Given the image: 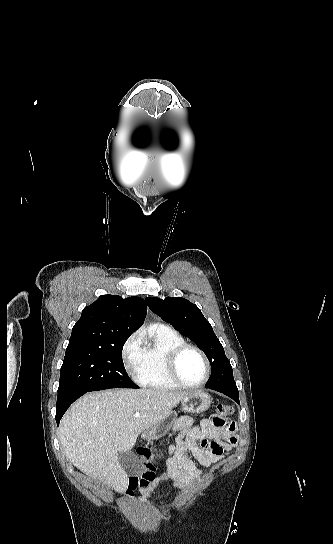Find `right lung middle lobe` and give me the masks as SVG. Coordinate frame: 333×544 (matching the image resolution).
Instances as JSON below:
<instances>
[{"label": "right lung middle lobe", "instance_id": "1", "mask_svg": "<svg viewBox=\"0 0 333 544\" xmlns=\"http://www.w3.org/2000/svg\"><path fill=\"white\" fill-rule=\"evenodd\" d=\"M129 336H120L106 346L66 349L60 371V390L98 391L109 388H139L128 376L122 349Z\"/></svg>", "mask_w": 333, "mask_h": 544}]
</instances>
